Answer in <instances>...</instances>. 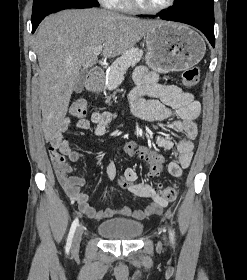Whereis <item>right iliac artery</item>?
Returning a JSON list of instances; mask_svg holds the SVG:
<instances>
[{
  "mask_svg": "<svg viewBox=\"0 0 247 280\" xmlns=\"http://www.w3.org/2000/svg\"><path fill=\"white\" fill-rule=\"evenodd\" d=\"M78 218H76L70 228L69 234H68V238H67V243H66V252H69L70 248H71V244H72V240H73V236L76 230V227L78 226Z\"/></svg>",
  "mask_w": 247,
  "mask_h": 280,
  "instance_id": "1",
  "label": "right iliac artery"
}]
</instances>
